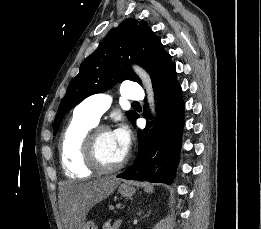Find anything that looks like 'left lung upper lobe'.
<instances>
[{
  "mask_svg": "<svg viewBox=\"0 0 261 229\" xmlns=\"http://www.w3.org/2000/svg\"><path fill=\"white\" fill-rule=\"evenodd\" d=\"M131 63L145 68L152 82L160 73L174 65L171 56L165 52L161 41L148 23L127 18L85 59L79 74L71 80L59 105L54 131H58L64 115L88 96L105 92L124 79L141 83L128 66ZM136 115L135 111L127 112L132 123Z\"/></svg>",
  "mask_w": 261,
  "mask_h": 229,
  "instance_id": "left-lung-upper-lobe-1",
  "label": "left lung upper lobe"
}]
</instances>
